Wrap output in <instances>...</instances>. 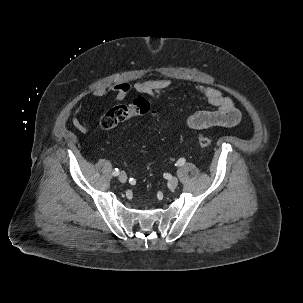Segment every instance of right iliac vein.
<instances>
[{
    "mask_svg": "<svg viewBox=\"0 0 303 303\" xmlns=\"http://www.w3.org/2000/svg\"><path fill=\"white\" fill-rule=\"evenodd\" d=\"M119 181L122 182V183H125L127 181V175L125 172H121L119 174Z\"/></svg>",
    "mask_w": 303,
    "mask_h": 303,
    "instance_id": "63e3f726",
    "label": "right iliac vein"
}]
</instances>
